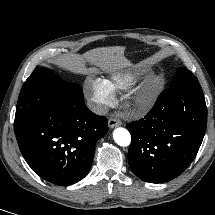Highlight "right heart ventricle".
Masks as SVG:
<instances>
[{
    "mask_svg": "<svg viewBox=\"0 0 215 215\" xmlns=\"http://www.w3.org/2000/svg\"><path fill=\"white\" fill-rule=\"evenodd\" d=\"M103 80L112 92L124 90L130 85V79L124 75H112Z\"/></svg>",
    "mask_w": 215,
    "mask_h": 215,
    "instance_id": "1",
    "label": "right heart ventricle"
}]
</instances>
